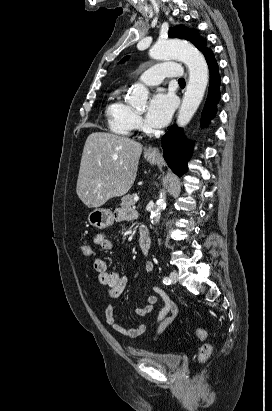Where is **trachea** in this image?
I'll use <instances>...</instances> for the list:
<instances>
[{"instance_id": "3493384b", "label": "trachea", "mask_w": 272, "mask_h": 411, "mask_svg": "<svg viewBox=\"0 0 272 411\" xmlns=\"http://www.w3.org/2000/svg\"><path fill=\"white\" fill-rule=\"evenodd\" d=\"M178 82H179V83H182V84H185V79H184V78H180V79L178 80Z\"/></svg>"}]
</instances>
